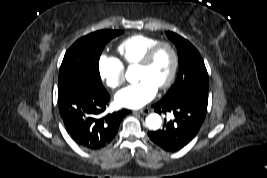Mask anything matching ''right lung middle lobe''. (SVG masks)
Here are the masks:
<instances>
[{"instance_id": "obj_1", "label": "right lung middle lobe", "mask_w": 267, "mask_h": 178, "mask_svg": "<svg viewBox=\"0 0 267 178\" xmlns=\"http://www.w3.org/2000/svg\"><path fill=\"white\" fill-rule=\"evenodd\" d=\"M119 30H100L78 39L66 52L59 71V87L89 83L105 89L100 80L99 58L105 45L122 34Z\"/></svg>"}]
</instances>
